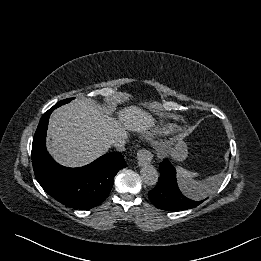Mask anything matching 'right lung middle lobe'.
<instances>
[{
    "label": "right lung middle lobe",
    "instance_id": "right-lung-middle-lobe-1",
    "mask_svg": "<svg viewBox=\"0 0 261 261\" xmlns=\"http://www.w3.org/2000/svg\"><path fill=\"white\" fill-rule=\"evenodd\" d=\"M73 99L74 98H68V99L62 100V101L58 102L57 105L61 106V105L65 104V103H69Z\"/></svg>",
    "mask_w": 261,
    "mask_h": 261
}]
</instances>
